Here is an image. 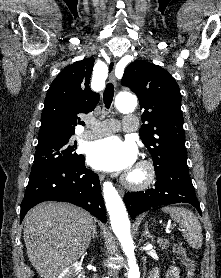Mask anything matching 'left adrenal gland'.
<instances>
[{"instance_id":"left-adrenal-gland-1","label":"left adrenal gland","mask_w":221,"mask_h":278,"mask_svg":"<svg viewBox=\"0 0 221 278\" xmlns=\"http://www.w3.org/2000/svg\"><path fill=\"white\" fill-rule=\"evenodd\" d=\"M143 236L146 237V238L153 239V236L148 231V225H145V230L143 232Z\"/></svg>"}]
</instances>
